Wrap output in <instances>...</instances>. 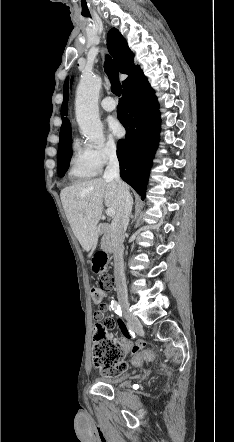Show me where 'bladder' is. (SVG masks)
<instances>
[{"mask_svg": "<svg viewBox=\"0 0 234 442\" xmlns=\"http://www.w3.org/2000/svg\"><path fill=\"white\" fill-rule=\"evenodd\" d=\"M125 378V376H119V377H102L99 378L98 381L107 384V385H116L120 381H122Z\"/></svg>", "mask_w": 234, "mask_h": 442, "instance_id": "bladder-1", "label": "bladder"}]
</instances>
